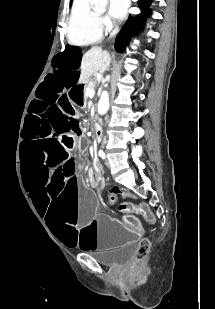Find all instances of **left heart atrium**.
I'll use <instances>...</instances> for the list:
<instances>
[{"label": "left heart atrium", "instance_id": "obj_1", "mask_svg": "<svg viewBox=\"0 0 215 309\" xmlns=\"http://www.w3.org/2000/svg\"><path fill=\"white\" fill-rule=\"evenodd\" d=\"M109 2L110 7H113L109 11L110 20H119L122 16V12H129V5H126L125 0H109Z\"/></svg>", "mask_w": 215, "mask_h": 309}]
</instances>
